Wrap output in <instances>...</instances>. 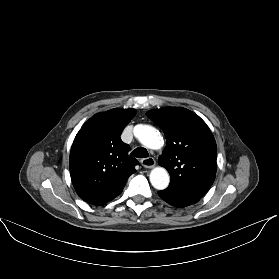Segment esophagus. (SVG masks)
<instances>
[{"label":"esophagus","instance_id":"34e87169","mask_svg":"<svg viewBox=\"0 0 279 279\" xmlns=\"http://www.w3.org/2000/svg\"><path fill=\"white\" fill-rule=\"evenodd\" d=\"M141 164L144 168H153L155 166V160L152 157L144 158L141 160Z\"/></svg>","mask_w":279,"mask_h":279}]
</instances>
